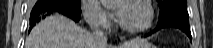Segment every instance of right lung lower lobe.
Wrapping results in <instances>:
<instances>
[{
    "instance_id": "98d812e1",
    "label": "right lung lower lobe",
    "mask_w": 213,
    "mask_h": 48,
    "mask_svg": "<svg viewBox=\"0 0 213 48\" xmlns=\"http://www.w3.org/2000/svg\"><path fill=\"white\" fill-rule=\"evenodd\" d=\"M53 13L63 14L77 22L81 14V6L68 0H38L30 14L29 31L37 22Z\"/></svg>"
}]
</instances>
